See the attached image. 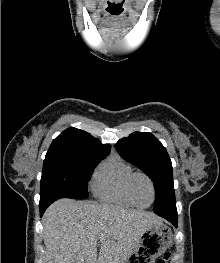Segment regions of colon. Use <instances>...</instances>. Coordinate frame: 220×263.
<instances>
[{"mask_svg":"<svg viewBox=\"0 0 220 263\" xmlns=\"http://www.w3.org/2000/svg\"><path fill=\"white\" fill-rule=\"evenodd\" d=\"M170 253L166 252L164 256L156 261V263H168Z\"/></svg>","mask_w":220,"mask_h":263,"instance_id":"colon-1","label":"colon"}]
</instances>
